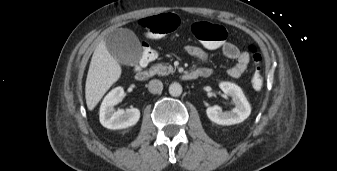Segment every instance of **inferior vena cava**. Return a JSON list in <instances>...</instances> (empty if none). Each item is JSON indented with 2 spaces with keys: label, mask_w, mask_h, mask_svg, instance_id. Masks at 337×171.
Listing matches in <instances>:
<instances>
[{
  "label": "inferior vena cava",
  "mask_w": 337,
  "mask_h": 171,
  "mask_svg": "<svg viewBox=\"0 0 337 171\" xmlns=\"http://www.w3.org/2000/svg\"><path fill=\"white\" fill-rule=\"evenodd\" d=\"M148 90L153 94L161 93L163 90V84L160 80L153 79L148 84Z\"/></svg>",
  "instance_id": "obj_1"
}]
</instances>
